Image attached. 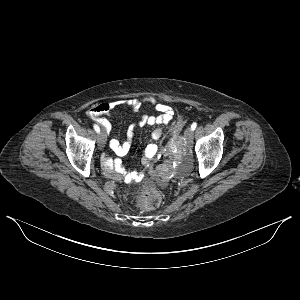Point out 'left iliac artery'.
<instances>
[{"mask_svg": "<svg viewBox=\"0 0 300 300\" xmlns=\"http://www.w3.org/2000/svg\"><path fill=\"white\" fill-rule=\"evenodd\" d=\"M197 127V123L196 122H193L192 125H191V129L194 131Z\"/></svg>", "mask_w": 300, "mask_h": 300, "instance_id": "left-iliac-artery-1", "label": "left iliac artery"}]
</instances>
